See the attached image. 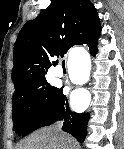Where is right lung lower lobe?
<instances>
[{"label": "right lung lower lobe", "mask_w": 124, "mask_h": 149, "mask_svg": "<svg viewBox=\"0 0 124 149\" xmlns=\"http://www.w3.org/2000/svg\"><path fill=\"white\" fill-rule=\"evenodd\" d=\"M96 45L89 48L93 56L97 53ZM58 120H63V131L73 135L79 142L84 141L87 134L89 114H79L71 111L68 100L63 94V88H58L45 109L33 114L28 120L22 135L26 136L34 130L51 125Z\"/></svg>", "instance_id": "1"}]
</instances>
